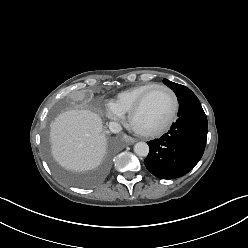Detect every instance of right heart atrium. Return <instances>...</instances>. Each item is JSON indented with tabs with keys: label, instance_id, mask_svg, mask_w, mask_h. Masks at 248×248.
<instances>
[{
	"label": "right heart atrium",
	"instance_id": "right-heart-atrium-1",
	"mask_svg": "<svg viewBox=\"0 0 248 248\" xmlns=\"http://www.w3.org/2000/svg\"><path fill=\"white\" fill-rule=\"evenodd\" d=\"M107 114H108V116L111 118V119H114V120H121L122 119V116L119 114V113H117L114 109H113V107L110 105V106H108V108H107Z\"/></svg>",
	"mask_w": 248,
	"mask_h": 248
}]
</instances>
